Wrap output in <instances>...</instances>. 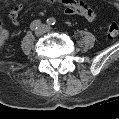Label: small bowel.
<instances>
[{
    "label": "small bowel",
    "mask_w": 119,
    "mask_h": 119,
    "mask_svg": "<svg viewBox=\"0 0 119 119\" xmlns=\"http://www.w3.org/2000/svg\"><path fill=\"white\" fill-rule=\"evenodd\" d=\"M50 2H52V0H50ZM59 3L65 7V13L68 15H80L89 21L94 20L96 17V11L84 2L76 0H60ZM21 10L22 5H16L9 12V17L15 25L19 24L18 15ZM4 36L6 37L7 34L4 33Z\"/></svg>",
    "instance_id": "obj_1"
}]
</instances>
